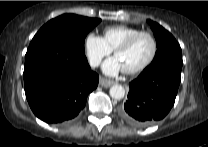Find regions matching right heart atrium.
I'll return each mask as SVG.
<instances>
[{
  "instance_id": "d8ad5b80",
  "label": "right heart atrium",
  "mask_w": 208,
  "mask_h": 147,
  "mask_svg": "<svg viewBox=\"0 0 208 147\" xmlns=\"http://www.w3.org/2000/svg\"><path fill=\"white\" fill-rule=\"evenodd\" d=\"M84 46L88 61L93 67L98 66L102 59L112 52L103 37L94 33L85 37Z\"/></svg>"
}]
</instances>
